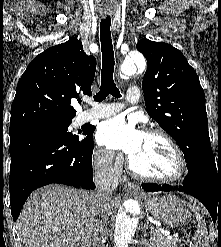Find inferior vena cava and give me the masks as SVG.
<instances>
[{"label": "inferior vena cava", "mask_w": 221, "mask_h": 247, "mask_svg": "<svg viewBox=\"0 0 221 247\" xmlns=\"http://www.w3.org/2000/svg\"><path fill=\"white\" fill-rule=\"evenodd\" d=\"M113 154L106 152L94 168L95 192L91 193L96 214V224L92 230L93 247H105L108 201L118 186V177L112 167Z\"/></svg>", "instance_id": "602c4592"}]
</instances>
